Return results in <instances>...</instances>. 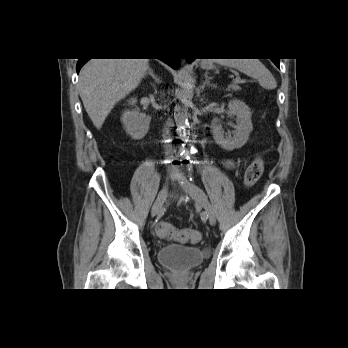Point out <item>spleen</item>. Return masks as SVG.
Masks as SVG:
<instances>
[{"label": "spleen", "mask_w": 348, "mask_h": 348, "mask_svg": "<svg viewBox=\"0 0 348 348\" xmlns=\"http://www.w3.org/2000/svg\"><path fill=\"white\" fill-rule=\"evenodd\" d=\"M216 63L235 68L242 73L257 79L264 89L272 90L277 82L272 73L258 59H216Z\"/></svg>", "instance_id": "obj_1"}]
</instances>
